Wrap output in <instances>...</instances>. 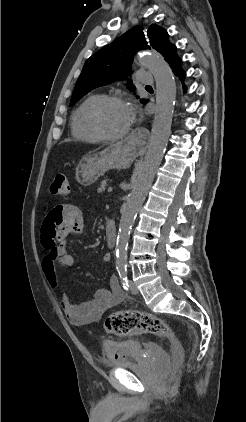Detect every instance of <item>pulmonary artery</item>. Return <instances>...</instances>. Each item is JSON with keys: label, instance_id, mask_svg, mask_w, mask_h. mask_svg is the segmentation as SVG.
Returning a JSON list of instances; mask_svg holds the SVG:
<instances>
[{"label": "pulmonary artery", "instance_id": "e3ab8cb5", "mask_svg": "<svg viewBox=\"0 0 246 422\" xmlns=\"http://www.w3.org/2000/svg\"><path fill=\"white\" fill-rule=\"evenodd\" d=\"M139 81L145 85H151L154 81L153 75L148 71H140L138 74Z\"/></svg>", "mask_w": 246, "mask_h": 422}]
</instances>
